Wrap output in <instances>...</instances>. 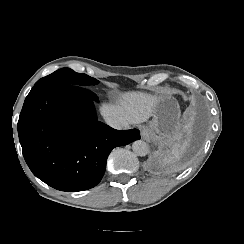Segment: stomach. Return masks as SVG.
Here are the masks:
<instances>
[{
	"label": "stomach",
	"instance_id": "1",
	"mask_svg": "<svg viewBox=\"0 0 244 244\" xmlns=\"http://www.w3.org/2000/svg\"><path fill=\"white\" fill-rule=\"evenodd\" d=\"M179 119L180 108L176 99L169 96L158 99L153 121L147 129L155 141L161 142L164 149L173 148L179 142Z\"/></svg>",
	"mask_w": 244,
	"mask_h": 244
}]
</instances>
